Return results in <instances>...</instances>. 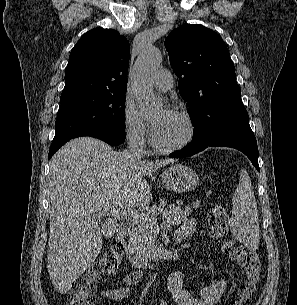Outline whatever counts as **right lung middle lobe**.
I'll use <instances>...</instances> for the list:
<instances>
[{"mask_svg":"<svg viewBox=\"0 0 297 305\" xmlns=\"http://www.w3.org/2000/svg\"><path fill=\"white\" fill-rule=\"evenodd\" d=\"M125 93H94L60 99L51 147L92 130L125 131Z\"/></svg>","mask_w":297,"mask_h":305,"instance_id":"1","label":"right lung middle lobe"}]
</instances>
